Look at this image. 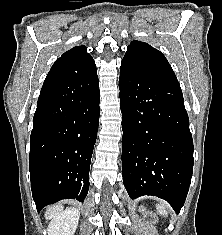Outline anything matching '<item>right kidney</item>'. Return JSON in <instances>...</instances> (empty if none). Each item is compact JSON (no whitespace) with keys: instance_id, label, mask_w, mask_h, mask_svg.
<instances>
[{"instance_id":"right-kidney-1","label":"right kidney","mask_w":222,"mask_h":235,"mask_svg":"<svg viewBox=\"0 0 222 235\" xmlns=\"http://www.w3.org/2000/svg\"><path fill=\"white\" fill-rule=\"evenodd\" d=\"M80 212L78 209L69 208L53 217L48 226V235H74Z\"/></svg>"}]
</instances>
